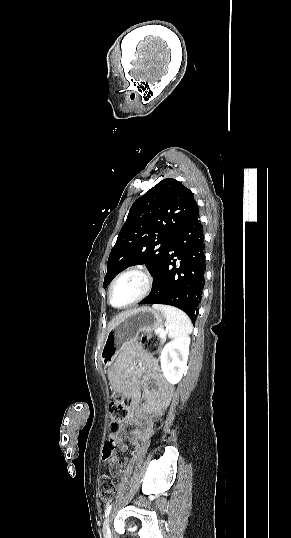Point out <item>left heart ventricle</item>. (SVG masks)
<instances>
[{"label": "left heart ventricle", "instance_id": "obj_1", "mask_svg": "<svg viewBox=\"0 0 291 538\" xmlns=\"http://www.w3.org/2000/svg\"><path fill=\"white\" fill-rule=\"evenodd\" d=\"M144 281L138 275H127L120 279L114 286L112 302L115 306H122L141 293Z\"/></svg>", "mask_w": 291, "mask_h": 538}]
</instances>
